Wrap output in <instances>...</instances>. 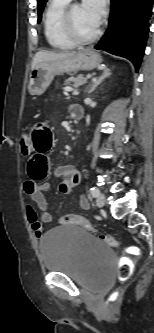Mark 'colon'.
I'll use <instances>...</instances> for the list:
<instances>
[{
    "label": "colon",
    "instance_id": "obj_1",
    "mask_svg": "<svg viewBox=\"0 0 154 333\" xmlns=\"http://www.w3.org/2000/svg\"><path fill=\"white\" fill-rule=\"evenodd\" d=\"M21 151L27 155L32 150L31 136L29 132H23L20 138ZM60 224H77L83 228L95 232V228L91 222L81 216L68 214L59 219ZM101 238L110 246L115 247L117 245L116 239L109 234L101 235ZM138 256V251L135 248H131L127 251L126 257L121 261L118 268V275L121 279H128L133 272V259Z\"/></svg>",
    "mask_w": 154,
    "mask_h": 333
}]
</instances>
